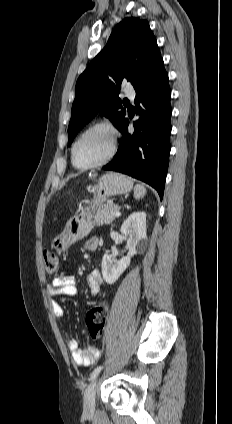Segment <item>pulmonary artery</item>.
<instances>
[{
  "label": "pulmonary artery",
  "instance_id": "obj_1",
  "mask_svg": "<svg viewBox=\"0 0 232 424\" xmlns=\"http://www.w3.org/2000/svg\"><path fill=\"white\" fill-rule=\"evenodd\" d=\"M125 93L128 97L134 98L135 97V91L132 88H126Z\"/></svg>",
  "mask_w": 232,
  "mask_h": 424
}]
</instances>
